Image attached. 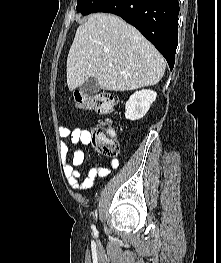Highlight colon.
Instances as JSON below:
<instances>
[{
	"label": "colon",
	"instance_id": "obj_1",
	"mask_svg": "<svg viewBox=\"0 0 221 263\" xmlns=\"http://www.w3.org/2000/svg\"><path fill=\"white\" fill-rule=\"evenodd\" d=\"M118 102V98L111 93H100L95 95L77 93L74 95L75 107L82 111H95L101 114H108ZM113 134L112 130H105L102 127L94 128L91 134L93 143L106 156H115L119 152L118 144Z\"/></svg>",
	"mask_w": 221,
	"mask_h": 263
}]
</instances>
